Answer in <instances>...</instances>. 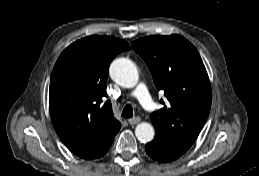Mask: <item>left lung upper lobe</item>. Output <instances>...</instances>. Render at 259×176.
Wrapping results in <instances>:
<instances>
[{
  "instance_id": "1",
  "label": "left lung upper lobe",
  "mask_w": 259,
  "mask_h": 176,
  "mask_svg": "<svg viewBox=\"0 0 259 176\" xmlns=\"http://www.w3.org/2000/svg\"><path fill=\"white\" fill-rule=\"evenodd\" d=\"M131 45L169 101L150 116L156 129L153 141L169 151L185 153L211 108V87L202 59L193 44L179 35L144 37Z\"/></svg>"
}]
</instances>
